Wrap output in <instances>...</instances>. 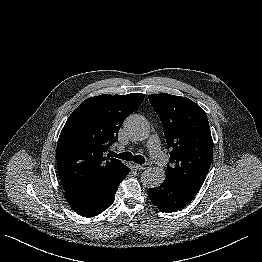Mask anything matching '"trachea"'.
<instances>
[{
	"label": "trachea",
	"instance_id": "trachea-1",
	"mask_svg": "<svg viewBox=\"0 0 262 262\" xmlns=\"http://www.w3.org/2000/svg\"><path fill=\"white\" fill-rule=\"evenodd\" d=\"M110 155L122 160H126V161H133L137 164H144L145 163V158L142 155H133L130 152H123V153H119L116 154L113 151H110Z\"/></svg>",
	"mask_w": 262,
	"mask_h": 262
}]
</instances>
